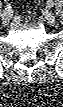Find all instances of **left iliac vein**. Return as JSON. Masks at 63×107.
<instances>
[{"mask_svg": "<svg viewBox=\"0 0 63 107\" xmlns=\"http://www.w3.org/2000/svg\"><path fill=\"white\" fill-rule=\"evenodd\" d=\"M46 22L50 25H54L56 22V17L52 12H47L44 16Z\"/></svg>", "mask_w": 63, "mask_h": 107, "instance_id": "4c4485c4", "label": "left iliac vein"}]
</instances>
